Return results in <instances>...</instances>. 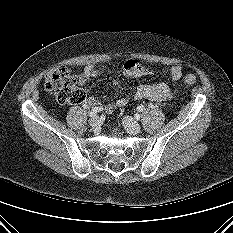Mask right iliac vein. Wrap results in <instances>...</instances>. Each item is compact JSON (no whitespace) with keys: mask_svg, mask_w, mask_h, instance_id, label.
I'll return each mask as SVG.
<instances>
[{"mask_svg":"<svg viewBox=\"0 0 233 233\" xmlns=\"http://www.w3.org/2000/svg\"><path fill=\"white\" fill-rule=\"evenodd\" d=\"M89 125L92 128H97L99 126V118L98 116H93L90 120H89Z\"/></svg>","mask_w":233,"mask_h":233,"instance_id":"63e3f726","label":"right iliac vein"}]
</instances>
